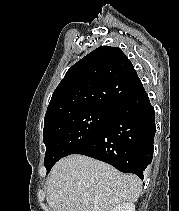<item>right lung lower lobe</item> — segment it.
<instances>
[{
    "label": "right lung lower lobe",
    "instance_id": "98d812e1",
    "mask_svg": "<svg viewBox=\"0 0 179 211\" xmlns=\"http://www.w3.org/2000/svg\"><path fill=\"white\" fill-rule=\"evenodd\" d=\"M155 112L141 86L119 103L98 135L73 154L106 162L121 172L133 173L141 180L153 157Z\"/></svg>",
    "mask_w": 179,
    "mask_h": 211
}]
</instances>
